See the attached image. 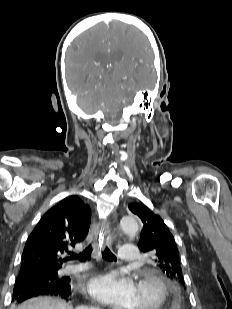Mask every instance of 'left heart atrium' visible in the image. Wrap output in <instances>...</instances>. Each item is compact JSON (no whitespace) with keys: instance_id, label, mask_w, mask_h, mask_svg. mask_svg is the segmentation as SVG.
Listing matches in <instances>:
<instances>
[{"instance_id":"39dd6f15","label":"left heart atrium","mask_w":232,"mask_h":309,"mask_svg":"<svg viewBox=\"0 0 232 309\" xmlns=\"http://www.w3.org/2000/svg\"><path fill=\"white\" fill-rule=\"evenodd\" d=\"M86 290L93 299L114 309H133L136 299V284L113 271L91 278Z\"/></svg>"}]
</instances>
